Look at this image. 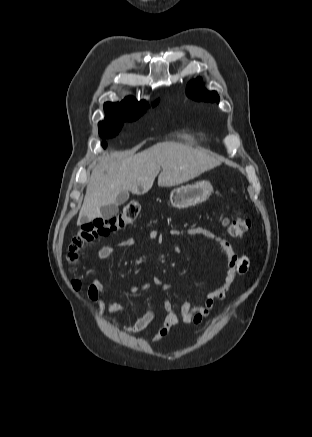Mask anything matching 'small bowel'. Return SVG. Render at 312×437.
<instances>
[{
  "label": "small bowel",
  "instance_id": "1",
  "mask_svg": "<svg viewBox=\"0 0 312 437\" xmlns=\"http://www.w3.org/2000/svg\"><path fill=\"white\" fill-rule=\"evenodd\" d=\"M184 234L201 235L214 241L218 247V250L227 261L226 275L222 284L218 288L204 295V302L202 304H193L190 300H187L181 304L179 310L177 311L169 300L164 299L162 302L165 311L164 320L162 326L152 337L153 342H157L165 337L171 329L178 325L180 321L185 324H200L203 319L210 314L216 303L225 298L235 278L239 275L247 273L249 269V258L244 254L238 255L235 253L231 244L218 236L216 233L199 226L186 228L184 230H170V235L175 238H179ZM151 236L155 240H159L161 237V235L156 231H154ZM137 245H139V241L135 238H127L115 244H105L98 250L97 258L100 260H105L113 256L119 247H131ZM175 250L179 251L180 249L179 247H175ZM152 284L157 286L161 285L165 291L170 289L169 284H162L160 279L154 278L152 283L145 282L140 287H132L131 292L136 294L140 291H146L151 287ZM88 295L93 302L97 303L100 313H104L105 311L109 313H125L127 311V307L120 302L108 300L104 286L97 277L92 278L88 287ZM154 318L155 312L153 309L149 308L140 318L135 321V323L131 325H123L114 318H109V321L114 327L121 328L128 334H135L146 328L154 320Z\"/></svg>",
  "mask_w": 312,
  "mask_h": 437
}]
</instances>
